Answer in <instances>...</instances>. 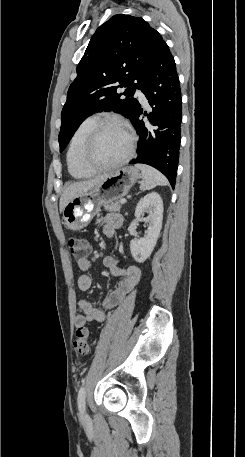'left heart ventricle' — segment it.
I'll return each instance as SVG.
<instances>
[{
	"label": "left heart ventricle",
	"mask_w": 245,
	"mask_h": 457,
	"mask_svg": "<svg viewBox=\"0 0 245 457\" xmlns=\"http://www.w3.org/2000/svg\"><path fill=\"white\" fill-rule=\"evenodd\" d=\"M128 144L129 139L123 131L113 127L107 128L87 151V162L92 166H104L120 157Z\"/></svg>",
	"instance_id": "left-heart-ventricle-1"
}]
</instances>
